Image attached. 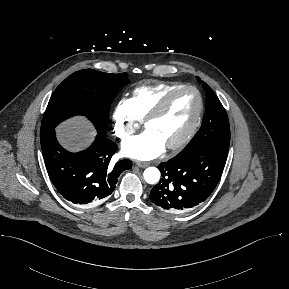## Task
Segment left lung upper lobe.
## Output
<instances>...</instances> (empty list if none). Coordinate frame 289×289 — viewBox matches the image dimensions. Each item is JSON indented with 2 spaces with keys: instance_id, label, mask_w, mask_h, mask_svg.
<instances>
[{
  "instance_id": "obj_1",
  "label": "left lung upper lobe",
  "mask_w": 289,
  "mask_h": 289,
  "mask_svg": "<svg viewBox=\"0 0 289 289\" xmlns=\"http://www.w3.org/2000/svg\"><path fill=\"white\" fill-rule=\"evenodd\" d=\"M200 82V78L197 77ZM206 89V113L202 126L188 145L178 154L177 158L207 146L229 148L230 127L227 113L213 90L204 83Z\"/></svg>"
}]
</instances>
